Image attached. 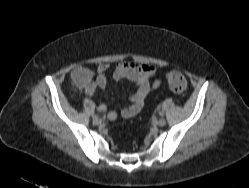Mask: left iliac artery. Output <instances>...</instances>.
<instances>
[{
    "instance_id": "1",
    "label": "left iliac artery",
    "mask_w": 249,
    "mask_h": 188,
    "mask_svg": "<svg viewBox=\"0 0 249 188\" xmlns=\"http://www.w3.org/2000/svg\"><path fill=\"white\" fill-rule=\"evenodd\" d=\"M159 115H160V116H163V115H164V113L161 111V112H159Z\"/></svg>"
}]
</instances>
